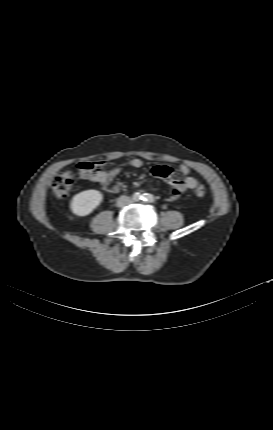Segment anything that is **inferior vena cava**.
Instances as JSON below:
<instances>
[{"label":"inferior vena cava","instance_id":"obj_1","mask_svg":"<svg viewBox=\"0 0 273 430\" xmlns=\"http://www.w3.org/2000/svg\"><path fill=\"white\" fill-rule=\"evenodd\" d=\"M133 202V200L128 197V196H120L117 200V205L118 206H125V205H129Z\"/></svg>","mask_w":273,"mask_h":430}]
</instances>
